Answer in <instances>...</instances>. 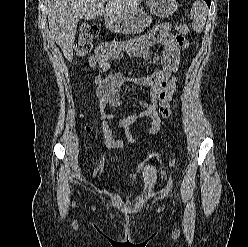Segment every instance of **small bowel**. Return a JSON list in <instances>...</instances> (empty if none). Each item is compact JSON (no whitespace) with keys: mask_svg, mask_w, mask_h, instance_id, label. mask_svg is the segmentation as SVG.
Returning <instances> with one entry per match:
<instances>
[{"mask_svg":"<svg viewBox=\"0 0 248 247\" xmlns=\"http://www.w3.org/2000/svg\"><path fill=\"white\" fill-rule=\"evenodd\" d=\"M156 45H159L162 49L160 68L147 75L136 77L127 75L122 68L118 67L114 73L106 75L111 68L110 62H120L124 54L151 61V49ZM188 47L189 43L180 35L167 34L157 39L150 34L130 40L124 50L111 53L99 63V72L94 78V83L99 99V118L102 133L108 148L118 149L123 144L112 138V131L107 121L116 122L119 127L124 129L126 136L130 140H132L130 127L143 118L150 119L153 125L152 134L160 131L159 116L166 117L171 114V100L176 89V73L180 63V50ZM127 82L149 88L150 94L146 100L139 103V106L143 109L142 111L116 118L107 112V107L120 108L123 106L120 91Z\"/></svg>","mask_w":248,"mask_h":247,"instance_id":"c3829d8e","label":"small bowel"}]
</instances>
